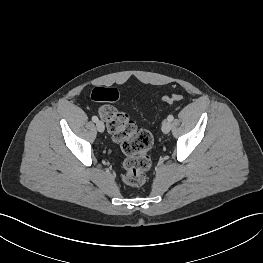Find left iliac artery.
<instances>
[{
	"label": "left iliac artery",
	"instance_id": "44dca946",
	"mask_svg": "<svg viewBox=\"0 0 263 263\" xmlns=\"http://www.w3.org/2000/svg\"><path fill=\"white\" fill-rule=\"evenodd\" d=\"M169 121H172L174 119L173 115H169L167 118Z\"/></svg>",
	"mask_w": 263,
	"mask_h": 263
}]
</instances>
